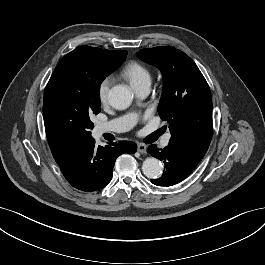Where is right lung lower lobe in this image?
Returning <instances> with one entry per match:
<instances>
[{
	"instance_id": "98d812e1",
	"label": "right lung lower lobe",
	"mask_w": 265,
	"mask_h": 265,
	"mask_svg": "<svg viewBox=\"0 0 265 265\" xmlns=\"http://www.w3.org/2000/svg\"><path fill=\"white\" fill-rule=\"evenodd\" d=\"M137 145L130 141L95 146L92 137L85 139L61 158L55 159L66 180L76 189L92 192L106 186L112 178V170L118 156L133 154Z\"/></svg>"
}]
</instances>
